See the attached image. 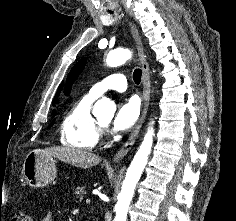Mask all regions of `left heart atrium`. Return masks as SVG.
<instances>
[{"instance_id":"left-heart-atrium-1","label":"left heart atrium","mask_w":236,"mask_h":221,"mask_svg":"<svg viewBox=\"0 0 236 221\" xmlns=\"http://www.w3.org/2000/svg\"><path fill=\"white\" fill-rule=\"evenodd\" d=\"M140 112L139 102L136 98H127L120 102L111 127L115 132L130 129L138 119Z\"/></svg>"}]
</instances>
